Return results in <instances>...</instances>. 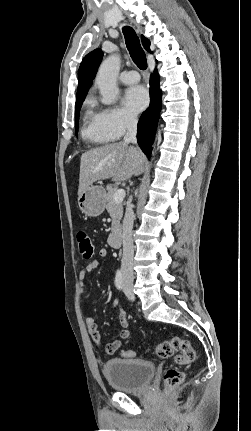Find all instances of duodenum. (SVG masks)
Instances as JSON below:
<instances>
[{
    "label": "duodenum",
    "mask_w": 251,
    "mask_h": 431,
    "mask_svg": "<svg viewBox=\"0 0 251 431\" xmlns=\"http://www.w3.org/2000/svg\"><path fill=\"white\" fill-rule=\"evenodd\" d=\"M109 243L112 247L118 248L122 243V231L115 229L109 236Z\"/></svg>",
    "instance_id": "duodenum-1"
}]
</instances>
